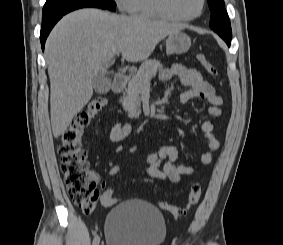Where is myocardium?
Masks as SVG:
<instances>
[{
    "mask_svg": "<svg viewBox=\"0 0 283 245\" xmlns=\"http://www.w3.org/2000/svg\"><path fill=\"white\" fill-rule=\"evenodd\" d=\"M156 4H157L158 9L169 19L175 20V21L189 22V21L195 20L203 13L205 5H206V0H200L199 11L195 15L189 16V17H182V16L176 15L170 6V0H156Z\"/></svg>",
    "mask_w": 283,
    "mask_h": 245,
    "instance_id": "obj_1",
    "label": "myocardium"
}]
</instances>
